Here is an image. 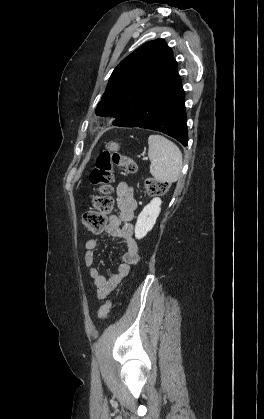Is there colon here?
<instances>
[{"mask_svg":"<svg viewBox=\"0 0 264 419\" xmlns=\"http://www.w3.org/2000/svg\"><path fill=\"white\" fill-rule=\"evenodd\" d=\"M119 168L128 173H135L137 165L135 161L122 154L102 151L90 173V182L96 187V194L92 197V208L84 213L82 218L83 227L91 233H100L106 224L107 214L112 210L113 200L111 197L113 171ZM146 191L150 195H162L167 192L169 185L166 182L154 178L145 181ZM111 308V302L106 301L99 309L100 319H106Z\"/></svg>","mask_w":264,"mask_h":419,"instance_id":"1","label":"colon"}]
</instances>
